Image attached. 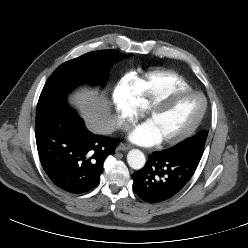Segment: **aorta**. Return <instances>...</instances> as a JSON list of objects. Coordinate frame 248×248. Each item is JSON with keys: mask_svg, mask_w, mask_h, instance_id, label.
Masks as SVG:
<instances>
[{"mask_svg": "<svg viewBox=\"0 0 248 248\" xmlns=\"http://www.w3.org/2000/svg\"><path fill=\"white\" fill-rule=\"evenodd\" d=\"M127 162L132 169L140 170L145 165V155L138 149H132L127 154Z\"/></svg>", "mask_w": 248, "mask_h": 248, "instance_id": "obj_1", "label": "aorta"}]
</instances>
